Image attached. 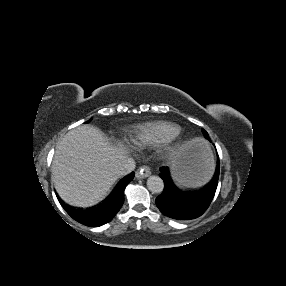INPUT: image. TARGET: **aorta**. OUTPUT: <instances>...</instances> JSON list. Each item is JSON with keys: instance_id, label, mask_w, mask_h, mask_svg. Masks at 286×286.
Listing matches in <instances>:
<instances>
[{"instance_id": "obj_1", "label": "aorta", "mask_w": 286, "mask_h": 286, "mask_svg": "<svg viewBox=\"0 0 286 286\" xmlns=\"http://www.w3.org/2000/svg\"><path fill=\"white\" fill-rule=\"evenodd\" d=\"M147 187L153 193H161L164 189V181L161 177L152 175L147 179Z\"/></svg>"}]
</instances>
